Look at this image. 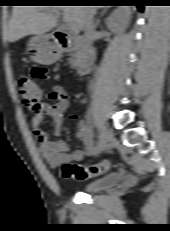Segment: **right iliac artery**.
I'll use <instances>...</instances> for the list:
<instances>
[{
  "mask_svg": "<svg viewBox=\"0 0 170 231\" xmlns=\"http://www.w3.org/2000/svg\"><path fill=\"white\" fill-rule=\"evenodd\" d=\"M99 150H100V142H99V144H98V149H97V151H96L95 154H97V153L99 152Z\"/></svg>",
  "mask_w": 170,
  "mask_h": 231,
  "instance_id": "82829eb1",
  "label": "right iliac artery"
}]
</instances>
